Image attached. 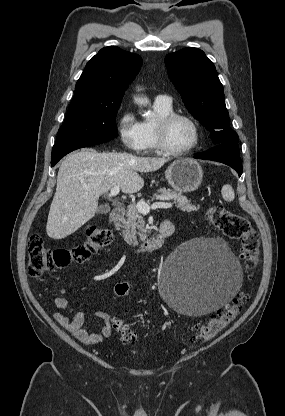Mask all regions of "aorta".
I'll return each mask as SVG.
<instances>
[{
  "label": "aorta",
  "instance_id": "762f6f07",
  "mask_svg": "<svg viewBox=\"0 0 285 416\" xmlns=\"http://www.w3.org/2000/svg\"><path fill=\"white\" fill-rule=\"evenodd\" d=\"M138 102H139L141 105H146L148 101H147L146 99H138Z\"/></svg>",
  "mask_w": 285,
  "mask_h": 416
}]
</instances>
